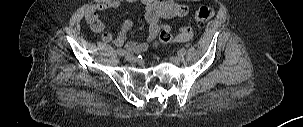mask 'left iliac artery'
I'll list each match as a JSON object with an SVG mask.
<instances>
[{"instance_id": "obj_1", "label": "left iliac artery", "mask_w": 303, "mask_h": 127, "mask_svg": "<svg viewBox=\"0 0 303 127\" xmlns=\"http://www.w3.org/2000/svg\"><path fill=\"white\" fill-rule=\"evenodd\" d=\"M178 54L184 56L186 54V49L185 48H181L179 50Z\"/></svg>"}]
</instances>
